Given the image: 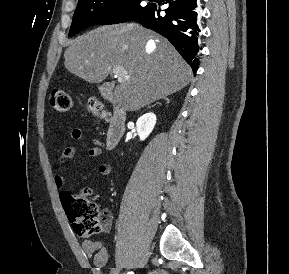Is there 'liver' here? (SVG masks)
<instances>
[{"instance_id":"6515ba94","label":"liver","mask_w":289,"mask_h":274,"mask_svg":"<svg viewBox=\"0 0 289 274\" xmlns=\"http://www.w3.org/2000/svg\"><path fill=\"white\" fill-rule=\"evenodd\" d=\"M65 68L89 83L116 66L128 79L114 90L117 102L136 111L186 87L192 71L168 40L136 24L101 26L69 41Z\"/></svg>"}]
</instances>
